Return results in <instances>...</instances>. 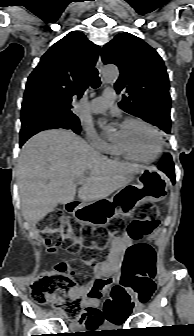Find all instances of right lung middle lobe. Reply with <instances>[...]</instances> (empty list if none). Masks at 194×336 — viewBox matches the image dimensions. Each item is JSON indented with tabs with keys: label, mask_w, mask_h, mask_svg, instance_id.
Wrapping results in <instances>:
<instances>
[{
	"label": "right lung middle lobe",
	"mask_w": 194,
	"mask_h": 336,
	"mask_svg": "<svg viewBox=\"0 0 194 336\" xmlns=\"http://www.w3.org/2000/svg\"><path fill=\"white\" fill-rule=\"evenodd\" d=\"M20 141L29 139L39 131L47 129H69L79 134L81 131L80 121L75 115L68 114H41L29 121H21Z\"/></svg>",
	"instance_id": "obj_1"
}]
</instances>
